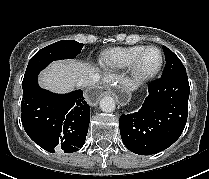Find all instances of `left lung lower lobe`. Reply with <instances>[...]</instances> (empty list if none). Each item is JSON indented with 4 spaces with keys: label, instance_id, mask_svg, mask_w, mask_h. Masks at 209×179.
I'll return each instance as SVG.
<instances>
[{
    "label": "left lung lower lobe",
    "instance_id": "1",
    "mask_svg": "<svg viewBox=\"0 0 209 179\" xmlns=\"http://www.w3.org/2000/svg\"><path fill=\"white\" fill-rule=\"evenodd\" d=\"M142 108L119 119L124 145L139 155H151L171 146L182 134L188 116L187 73L161 77L148 85Z\"/></svg>",
    "mask_w": 209,
    "mask_h": 179
}]
</instances>
